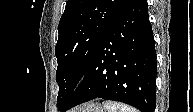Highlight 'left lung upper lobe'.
I'll list each match as a JSON object with an SVG mask.
<instances>
[{
  "instance_id": "left-lung-upper-lobe-1",
  "label": "left lung upper lobe",
  "mask_w": 193,
  "mask_h": 112,
  "mask_svg": "<svg viewBox=\"0 0 193 112\" xmlns=\"http://www.w3.org/2000/svg\"><path fill=\"white\" fill-rule=\"evenodd\" d=\"M132 0H68L55 47L57 106L68 100L107 30Z\"/></svg>"
}]
</instances>
